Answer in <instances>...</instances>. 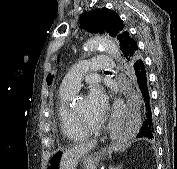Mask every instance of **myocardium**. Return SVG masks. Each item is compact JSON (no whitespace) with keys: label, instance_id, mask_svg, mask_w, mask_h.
Returning <instances> with one entry per match:
<instances>
[{"label":"myocardium","instance_id":"1","mask_svg":"<svg viewBox=\"0 0 177 169\" xmlns=\"http://www.w3.org/2000/svg\"><path fill=\"white\" fill-rule=\"evenodd\" d=\"M72 112H73L76 124L79 127V129L87 134L96 133V132H99L101 129H103V127L105 126V124L107 122V118H108L107 114L104 113L100 122L92 124V123H88L79 114V112L76 110L75 106L72 108Z\"/></svg>","mask_w":177,"mask_h":169}]
</instances>
